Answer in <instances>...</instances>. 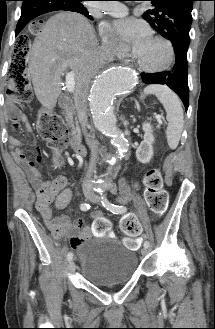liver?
Masks as SVG:
<instances>
[{
  "instance_id": "obj_1",
  "label": "liver",
  "mask_w": 215,
  "mask_h": 329,
  "mask_svg": "<svg viewBox=\"0 0 215 329\" xmlns=\"http://www.w3.org/2000/svg\"><path fill=\"white\" fill-rule=\"evenodd\" d=\"M99 48L93 26L82 15L60 12L45 23L31 46L26 62L35 95L46 109H53L61 94V76L70 68L76 89L99 71L93 55Z\"/></svg>"
}]
</instances>
